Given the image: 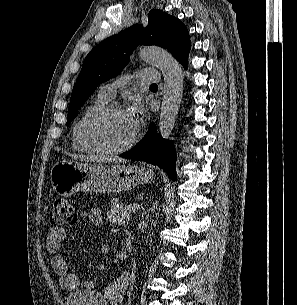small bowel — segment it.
Here are the masks:
<instances>
[{
  "label": "small bowel",
  "instance_id": "1",
  "mask_svg": "<svg viewBox=\"0 0 297 305\" xmlns=\"http://www.w3.org/2000/svg\"><path fill=\"white\" fill-rule=\"evenodd\" d=\"M80 219H85L92 227H99L103 223V212L98 208L91 209L82 213ZM65 238L64 228L51 227L48 231L46 247L52 254L51 266L59 284L68 294L67 305H121L130 284V273H122L103 290H97L94 282L81 279L70 271L67 260L61 254ZM99 251L108 254L111 251L110 244L102 243Z\"/></svg>",
  "mask_w": 297,
  "mask_h": 305
}]
</instances>
